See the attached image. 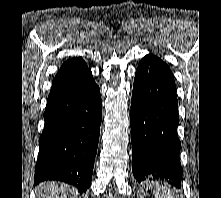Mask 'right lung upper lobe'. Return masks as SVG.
I'll use <instances>...</instances> for the list:
<instances>
[{"instance_id":"cb5924a9","label":"right lung upper lobe","mask_w":221,"mask_h":198,"mask_svg":"<svg viewBox=\"0 0 221 198\" xmlns=\"http://www.w3.org/2000/svg\"><path fill=\"white\" fill-rule=\"evenodd\" d=\"M87 71H89L87 69V64L81 58L67 60L62 64L60 70L56 74L51 91L69 84Z\"/></svg>"}]
</instances>
